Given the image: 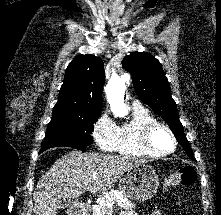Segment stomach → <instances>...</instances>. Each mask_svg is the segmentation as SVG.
Listing matches in <instances>:
<instances>
[{
    "mask_svg": "<svg viewBox=\"0 0 221 215\" xmlns=\"http://www.w3.org/2000/svg\"><path fill=\"white\" fill-rule=\"evenodd\" d=\"M159 186V178L153 166L141 163L119 178V190L127 198L146 201L154 196Z\"/></svg>",
    "mask_w": 221,
    "mask_h": 215,
    "instance_id": "0dacf381",
    "label": "stomach"
}]
</instances>
